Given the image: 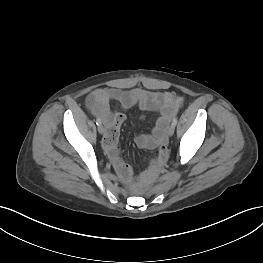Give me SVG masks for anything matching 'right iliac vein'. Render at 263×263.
Segmentation results:
<instances>
[{
	"label": "right iliac vein",
	"mask_w": 263,
	"mask_h": 263,
	"mask_svg": "<svg viewBox=\"0 0 263 263\" xmlns=\"http://www.w3.org/2000/svg\"><path fill=\"white\" fill-rule=\"evenodd\" d=\"M98 132H99L100 134H104L105 128L103 127V125H99V126H98Z\"/></svg>",
	"instance_id": "1"
}]
</instances>
